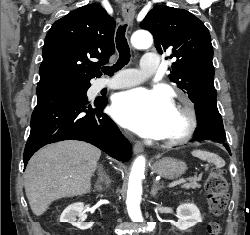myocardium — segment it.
I'll return each instance as SVG.
<instances>
[{
    "instance_id": "1",
    "label": "myocardium",
    "mask_w": 250,
    "mask_h": 235,
    "mask_svg": "<svg viewBox=\"0 0 250 235\" xmlns=\"http://www.w3.org/2000/svg\"><path fill=\"white\" fill-rule=\"evenodd\" d=\"M174 109L183 115L185 126L179 134L171 138H162L159 140L161 144L168 147L187 143L192 139L198 127L197 112L191 101L184 98L175 105Z\"/></svg>"
}]
</instances>
